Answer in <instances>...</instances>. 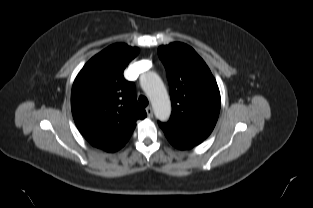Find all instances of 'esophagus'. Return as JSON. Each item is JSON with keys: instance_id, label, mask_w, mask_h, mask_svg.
Instances as JSON below:
<instances>
[{"instance_id": "obj_1", "label": "esophagus", "mask_w": 313, "mask_h": 208, "mask_svg": "<svg viewBox=\"0 0 313 208\" xmlns=\"http://www.w3.org/2000/svg\"><path fill=\"white\" fill-rule=\"evenodd\" d=\"M145 110L149 118L153 117V110L150 106L147 107Z\"/></svg>"}]
</instances>
